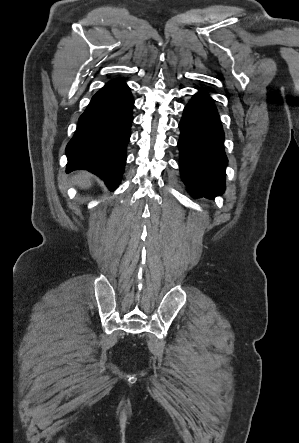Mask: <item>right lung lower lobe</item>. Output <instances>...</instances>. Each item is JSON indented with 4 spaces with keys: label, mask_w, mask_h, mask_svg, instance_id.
Masks as SVG:
<instances>
[{
    "label": "right lung lower lobe",
    "mask_w": 299,
    "mask_h": 443,
    "mask_svg": "<svg viewBox=\"0 0 299 443\" xmlns=\"http://www.w3.org/2000/svg\"><path fill=\"white\" fill-rule=\"evenodd\" d=\"M134 100L122 79L109 81L92 98L66 147L67 172L85 169L115 190L126 162Z\"/></svg>",
    "instance_id": "right-lung-lower-lobe-1"
}]
</instances>
